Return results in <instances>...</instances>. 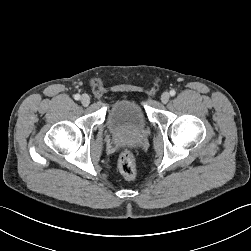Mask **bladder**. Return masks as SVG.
I'll return each instance as SVG.
<instances>
[{"mask_svg": "<svg viewBox=\"0 0 251 251\" xmlns=\"http://www.w3.org/2000/svg\"><path fill=\"white\" fill-rule=\"evenodd\" d=\"M106 124L114 134H139L147 127V117L138 101L120 99L108 108Z\"/></svg>", "mask_w": 251, "mask_h": 251, "instance_id": "1", "label": "bladder"}]
</instances>
